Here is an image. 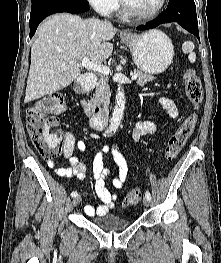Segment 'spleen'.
Wrapping results in <instances>:
<instances>
[{"mask_svg": "<svg viewBox=\"0 0 221 263\" xmlns=\"http://www.w3.org/2000/svg\"><path fill=\"white\" fill-rule=\"evenodd\" d=\"M182 50L185 54H188V60L191 63L196 61V54L193 52L194 50V43L192 41H185L182 45Z\"/></svg>", "mask_w": 221, "mask_h": 263, "instance_id": "obj_1", "label": "spleen"}]
</instances>
